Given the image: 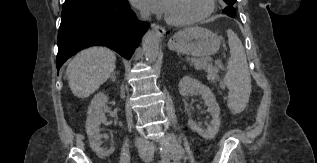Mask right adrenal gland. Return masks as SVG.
Instances as JSON below:
<instances>
[{
  "instance_id": "right-adrenal-gland-1",
  "label": "right adrenal gland",
  "mask_w": 317,
  "mask_h": 163,
  "mask_svg": "<svg viewBox=\"0 0 317 163\" xmlns=\"http://www.w3.org/2000/svg\"><path fill=\"white\" fill-rule=\"evenodd\" d=\"M117 74H118L117 71H113V72H112V74H111V76H110V79H111L113 82L116 81V75H117Z\"/></svg>"
}]
</instances>
